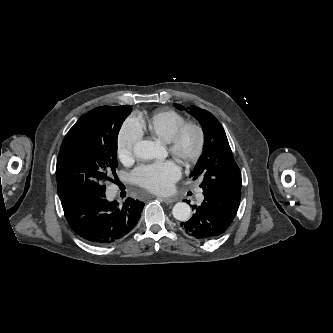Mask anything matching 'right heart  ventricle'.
Here are the masks:
<instances>
[{"label": "right heart ventricle", "instance_id": "obj_1", "mask_svg": "<svg viewBox=\"0 0 333 333\" xmlns=\"http://www.w3.org/2000/svg\"><path fill=\"white\" fill-rule=\"evenodd\" d=\"M185 122V117L174 110H159L142 123L141 128L149 134L169 142L175 130Z\"/></svg>", "mask_w": 333, "mask_h": 333}]
</instances>
